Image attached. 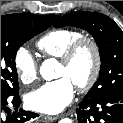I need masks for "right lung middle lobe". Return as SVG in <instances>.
<instances>
[{
    "label": "right lung middle lobe",
    "mask_w": 123,
    "mask_h": 123,
    "mask_svg": "<svg viewBox=\"0 0 123 123\" xmlns=\"http://www.w3.org/2000/svg\"><path fill=\"white\" fill-rule=\"evenodd\" d=\"M51 25L47 16H1V97L18 94L19 84L15 65L17 50Z\"/></svg>",
    "instance_id": "dd1d6c3e"
}]
</instances>
